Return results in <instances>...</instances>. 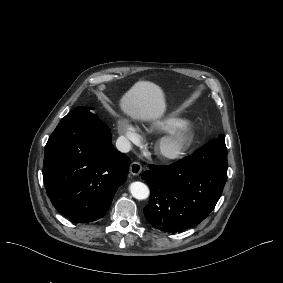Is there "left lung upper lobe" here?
Listing matches in <instances>:
<instances>
[{
	"label": "left lung upper lobe",
	"mask_w": 283,
	"mask_h": 283,
	"mask_svg": "<svg viewBox=\"0 0 283 283\" xmlns=\"http://www.w3.org/2000/svg\"><path fill=\"white\" fill-rule=\"evenodd\" d=\"M217 139L224 140V135H220Z\"/></svg>",
	"instance_id": "5c2ea615"
}]
</instances>
